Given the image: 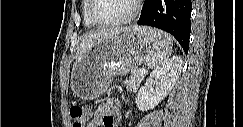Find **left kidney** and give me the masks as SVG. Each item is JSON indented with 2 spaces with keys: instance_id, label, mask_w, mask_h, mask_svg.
<instances>
[{
  "instance_id": "left-kidney-1",
  "label": "left kidney",
  "mask_w": 243,
  "mask_h": 127,
  "mask_svg": "<svg viewBox=\"0 0 243 127\" xmlns=\"http://www.w3.org/2000/svg\"><path fill=\"white\" fill-rule=\"evenodd\" d=\"M182 63L181 57L174 56L151 73V81L155 82L156 87L153 90L151 86L144 85L139 89L136 96L139 110L154 108L169 94L180 75Z\"/></svg>"
}]
</instances>
